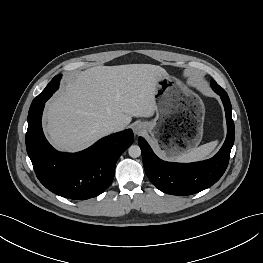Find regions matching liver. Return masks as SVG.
I'll use <instances>...</instances> for the list:
<instances>
[{
  "label": "liver",
  "instance_id": "liver-1",
  "mask_svg": "<svg viewBox=\"0 0 263 263\" xmlns=\"http://www.w3.org/2000/svg\"><path fill=\"white\" fill-rule=\"evenodd\" d=\"M151 64L96 66L75 74L46 105V132L59 150L79 151L110 134L105 124L123 130L132 117H151L157 109L158 77Z\"/></svg>",
  "mask_w": 263,
  "mask_h": 263
}]
</instances>
